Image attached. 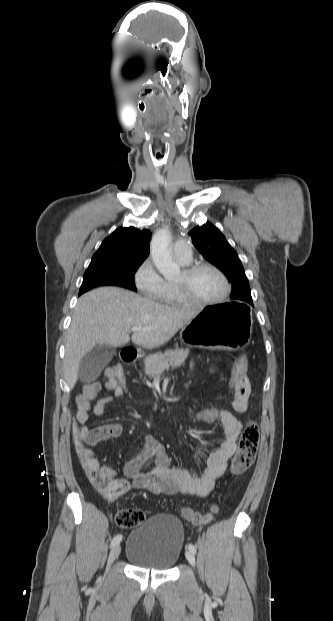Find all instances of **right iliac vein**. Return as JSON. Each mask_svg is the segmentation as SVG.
Returning a JSON list of instances; mask_svg holds the SVG:
<instances>
[{"mask_svg":"<svg viewBox=\"0 0 333 621\" xmlns=\"http://www.w3.org/2000/svg\"><path fill=\"white\" fill-rule=\"evenodd\" d=\"M121 552V546L120 544H117L116 546H114L111 551L110 554L108 556V561H107V569L109 570L112 563L115 561V559L120 555Z\"/></svg>","mask_w":333,"mask_h":621,"instance_id":"63e3f726","label":"right iliac vein"}]
</instances>
